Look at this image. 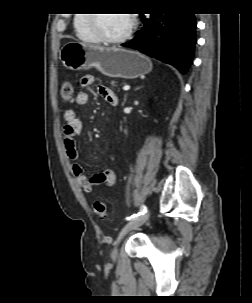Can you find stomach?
<instances>
[{
    "instance_id": "0dacf381",
    "label": "stomach",
    "mask_w": 252,
    "mask_h": 303,
    "mask_svg": "<svg viewBox=\"0 0 252 303\" xmlns=\"http://www.w3.org/2000/svg\"><path fill=\"white\" fill-rule=\"evenodd\" d=\"M59 56L68 69L87 70L95 67L112 78L135 79L152 69L151 61L137 51L78 41L67 42Z\"/></svg>"
}]
</instances>
